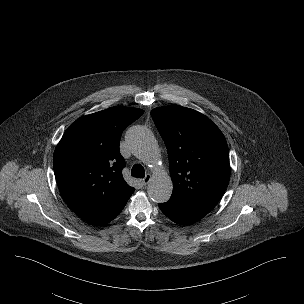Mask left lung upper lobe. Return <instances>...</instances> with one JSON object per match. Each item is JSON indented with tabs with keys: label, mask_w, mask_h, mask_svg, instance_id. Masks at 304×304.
I'll use <instances>...</instances> for the list:
<instances>
[{
	"label": "left lung upper lobe",
	"mask_w": 304,
	"mask_h": 304,
	"mask_svg": "<svg viewBox=\"0 0 304 304\" xmlns=\"http://www.w3.org/2000/svg\"><path fill=\"white\" fill-rule=\"evenodd\" d=\"M151 116L168 151L171 198L211 211L230 179L224 135L208 117L182 106L159 107L151 111Z\"/></svg>",
	"instance_id": "obj_1"
}]
</instances>
